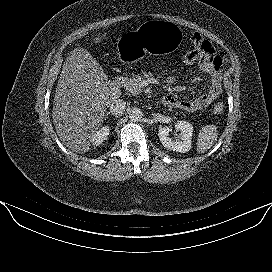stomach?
<instances>
[{"label": "stomach", "instance_id": "1", "mask_svg": "<svg viewBox=\"0 0 272 272\" xmlns=\"http://www.w3.org/2000/svg\"><path fill=\"white\" fill-rule=\"evenodd\" d=\"M183 41L181 28L165 20L143 22L135 31L126 32L118 38L117 51L121 62H137L144 54L170 52Z\"/></svg>", "mask_w": 272, "mask_h": 272}]
</instances>
